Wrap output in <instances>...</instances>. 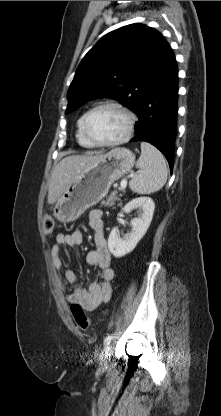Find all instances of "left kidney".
I'll return each mask as SVG.
<instances>
[{
	"mask_svg": "<svg viewBox=\"0 0 221 416\" xmlns=\"http://www.w3.org/2000/svg\"><path fill=\"white\" fill-rule=\"evenodd\" d=\"M139 210V216L131 220V232L125 238H120L116 228H113L108 238V248L113 256L119 258L130 253L143 238L152 221L155 204L149 197H139L128 202L123 212Z\"/></svg>",
	"mask_w": 221,
	"mask_h": 416,
	"instance_id": "5707ae66",
	"label": "left kidney"
}]
</instances>
